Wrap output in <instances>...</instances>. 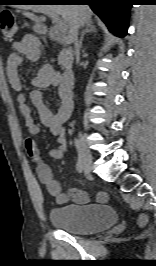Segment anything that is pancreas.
Returning a JSON list of instances; mask_svg holds the SVG:
<instances>
[{
  "mask_svg": "<svg viewBox=\"0 0 156 266\" xmlns=\"http://www.w3.org/2000/svg\"><path fill=\"white\" fill-rule=\"evenodd\" d=\"M73 62V51L71 48H64L58 55V63L61 65L62 69L67 68Z\"/></svg>",
  "mask_w": 156,
  "mask_h": 266,
  "instance_id": "pancreas-1",
  "label": "pancreas"
}]
</instances>
